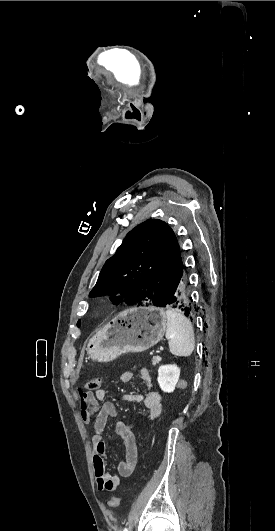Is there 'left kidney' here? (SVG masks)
<instances>
[{
    "mask_svg": "<svg viewBox=\"0 0 275 531\" xmlns=\"http://www.w3.org/2000/svg\"><path fill=\"white\" fill-rule=\"evenodd\" d=\"M180 377V369L177 365H161L158 369L157 381L164 393H173Z\"/></svg>",
    "mask_w": 275,
    "mask_h": 531,
    "instance_id": "5707ae66",
    "label": "left kidney"
}]
</instances>
